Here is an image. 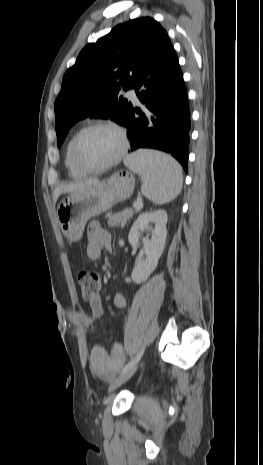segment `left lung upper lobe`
<instances>
[{"mask_svg":"<svg viewBox=\"0 0 263 465\" xmlns=\"http://www.w3.org/2000/svg\"><path fill=\"white\" fill-rule=\"evenodd\" d=\"M168 42L158 22L142 17L117 25L83 48L55 101L58 147L80 119L110 118L123 125L132 105L118 98L119 92L135 86Z\"/></svg>","mask_w":263,"mask_h":465,"instance_id":"obj_1","label":"left lung upper lobe"}]
</instances>
